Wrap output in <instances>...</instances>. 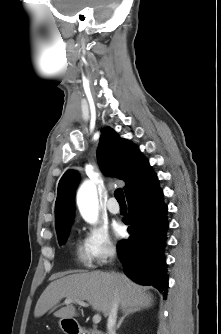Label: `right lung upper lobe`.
I'll return each mask as SVG.
<instances>
[{
  "label": "right lung upper lobe",
  "mask_w": 221,
  "mask_h": 334,
  "mask_svg": "<svg viewBox=\"0 0 221 334\" xmlns=\"http://www.w3.org/2000/svg\"><path fill=\"white\" fill-rule=\"evenodd\" d=\"M97 159L102 171L125 181L126 196L140 188L154 175L138 147L118 137L110 127L102 130ZM78 181L79 177L73 171H67L60 179L55 205L56 232L70 226L73 221V196Z\"/></svg>",
  "instance_id": "right-lung-upper-lobe-1"
}]
</instances>
